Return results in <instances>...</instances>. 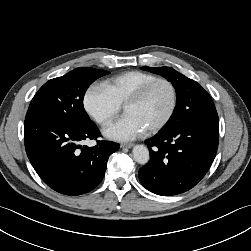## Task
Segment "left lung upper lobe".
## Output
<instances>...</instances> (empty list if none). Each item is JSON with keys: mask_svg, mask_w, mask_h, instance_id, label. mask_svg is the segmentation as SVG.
I'll list each match as a JSON object with an SVG mask.
<instances>
[{"mask_svg": "<svg viewBox=\"0 0 251 251\" xmlns=\"http://www.w3.org/2000/svg\"><path fill=\"white\" fill-rule=\"evenodd\" d=\"M141 69L159 74L172 83L176 90L177 103L172 116L161 130L174 128L185 118L184 110L191 107L190 101L200 94H208L197 82L187 78L170 67H141Z\"/></svg>", "mask_w": 251, "mask_h": 251, "instance_id": "obj_1", "label": "left lung upper lobe"}]
</instances>
